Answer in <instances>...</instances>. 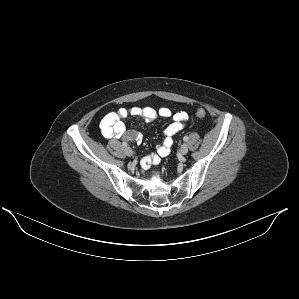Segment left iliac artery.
Masks as SVG:
<instances>
[{"label":"left iliac artery","instance_id":"1","mask_svg":"<svg viewBox=\"0 0 299 299\" xmlns=\"http://www.w3.org/2000/svg\"><path fill=\"white\" fill-rule=\"evenodd\" d=\"M183 140H184V141H187V140H188V137H187V136H185V137L183 138Z\"/></svg>","mask_w":299,"mask_h":299}]
</instances>
